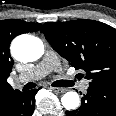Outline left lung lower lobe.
<instances>
[{"label":"left lung lower lobe","mask_w":116,"mask_h":116,"mask_svg":"<svg viewBox=\"0 0 116 116\" xmlns=\"http://www.w3.org/2000/svg\"><path fill=\"white\" fill-rule=\"evenodd\" d=\"M66 116H116V88L89 86L81 106Z\"/></svg>","instance_id":"left-lung-lower-lobe-1"}]
</instances>
